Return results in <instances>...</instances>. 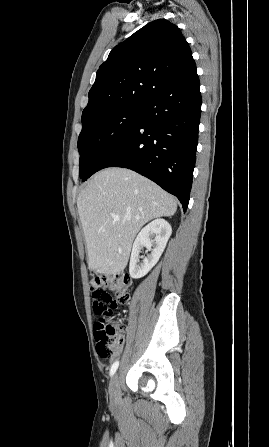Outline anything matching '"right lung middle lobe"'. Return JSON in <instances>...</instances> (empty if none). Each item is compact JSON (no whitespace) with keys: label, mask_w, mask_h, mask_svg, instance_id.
<instances>
[{"label":"right lung middle lobe","mask_w":269,"mask_h":447,"mask_svg":"<svg viewBox=\"0 0 269 447\" xmlns=\"http://www.w3.org/2000/svg\"><path fill=\"white\" fill-rule=\"evenodd\" d=\"M144 108L143 103L124 106L82 123L78 138L81 179L87 177L108 149L139 123Z\"/></svg>","instance_id":"dd1d6c3e"}]
</instances>
